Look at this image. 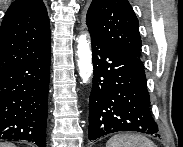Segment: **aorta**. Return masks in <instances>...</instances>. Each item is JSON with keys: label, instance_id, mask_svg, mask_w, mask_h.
<instances>
[{"label": "aorta", "instance_id": "1", "mask_svg": "<svg viewBox=\"0 0 183 147\" xmlns=\"http://www.w3.org/2000/svg\"><path fill=\"white\" fill-rule=\"evenodd\" d=\"M77 55V65L80 77L82 78L83 83H88L93 74V66L92 53L87 43L86 34H82L78 37Z\"/></svg>", "mask_w": 183, "mask_h": 147}]
</instances>
